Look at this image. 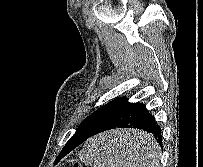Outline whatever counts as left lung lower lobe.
<instances>
[{
    "label": "left lung lower lobe",
    "mask_w": 203,
    "mask_h": 167,
    "mask_svg": "<svg viewBox=\"0 0 203 167\" xmlns=\"http://www.w3.org/2000/svg\"><path fill=\"white\" fill-rule=\"evenodd\" d=\"M115 128H135L147 131L154 136L162 148V131L154 116L148 112L145 105L141 103H130L126 97H122L93 132L71 137L63 147L60 156L68 154L89 137ZM116 146L117 144L112 143L113 148H116ZM145 146L137 143L132 145L130 143L122 144V147L125 148L133 147L138 154L142 153V150L145 151Z\"/></svg>",
    "instance_id": "obj_1"
}]
</instances>
